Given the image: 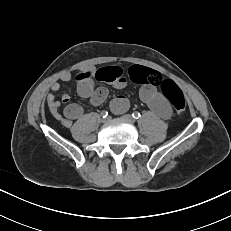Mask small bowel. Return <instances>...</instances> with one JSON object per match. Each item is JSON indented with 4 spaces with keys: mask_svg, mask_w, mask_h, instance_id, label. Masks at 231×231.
Listing matches in <instances>:
<instances>
[{
    "mask_svg": "<svg viewBox=\"0 0 231 231\" xmlns=\"http://www.w3.org/2000/svg\"><path fill=\"white\" fill-rule=\"evenodd\" d=\"M127 73L118 66L94 68L88 67L79 75L77 85L78 94L85 99H89L94 106L102 104L107 96L108 90L105 87H95L98 81L107 82L116 88H123L127 82ZM72 79L69 72H65L60 76V81L67 82ZM51 92L47 94L46 100L51 115L57 119L62 126L70 128L73 121L79 119L83 115V109L80 105L70 103V96L66 93L61 94V101H58L56 92L61 88V83L55 81L50 86ZM141 100L151 109L157 116L167 119L171 116L172 110L165 95L157 90L155 86L143 84L139 90ZM61 104H65L63 113L59 108ZM111 110L120 114L129 108L128 100L119 96L111 102Z\"/></svg>",
    "mask_w": 231,
    "mask_h": 231,
    "instance_id": "c3829d8e",
    "label": "small bowel"
}]
</instances>
